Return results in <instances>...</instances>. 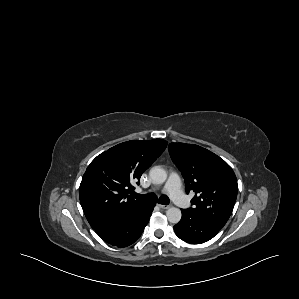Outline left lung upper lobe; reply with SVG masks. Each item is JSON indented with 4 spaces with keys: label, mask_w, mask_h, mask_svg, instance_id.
Masks as SVG:
<instances>
[{
    "label": "left lung upper lobe",
    "mask_w": 299,
    "mask_h": 299,
    "mask_svg": "<svg viewBox=\"0 0 299 299\" xmlns=\"http://www.w3.org/2000/svg\"><path fill=\"white\" fill-rule=\"evenodd\" d=\"M169 153L181 171L186 193L195 192L188 208L221 229L237 198L238 184L232 168L219 156L194 144L171 143Z\"/></svg>",
    "instance_id": "left-lung-upper-lobe-1"
}]
</instances>
